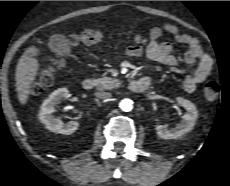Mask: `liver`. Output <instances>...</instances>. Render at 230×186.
I'll list each match as a JSON object with an SVG mask.
<instances>
[{
	"label": "liver",
	"instance_id": "1",
	"mask_svg": "<svg viewBox=\"0 0 230 186\" xmlns=\"http://www.w3.org/2000/svg\"><path fill=\"white\" fill-rule=\"evenodd\" d=\"M39 54V48L36 46H29L17 63L15 73L16 91L22 105L26 104L31 92V85L38 75L40 65L35 56Z\"/></svg>",
	"mask_w": 230,
	"mask_h": 186
}]
</instances>
